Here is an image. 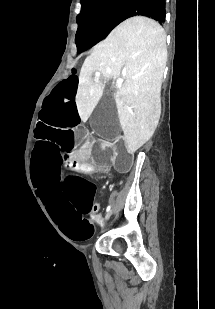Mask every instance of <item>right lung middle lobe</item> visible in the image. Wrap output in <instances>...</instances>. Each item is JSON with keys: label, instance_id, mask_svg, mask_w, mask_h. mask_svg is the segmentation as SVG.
Listing matches in <instances>:
<instances>
[{"label": "right lung middle lobe", "instance_id": "dd1d6c3e", "mask_svg": "<svg viewBox=\"0 0 215 309\" xmlns=\"http://www.w3.org/2000/svg\"><path fill=\"white\" fill-rule=\"evenodd\" d=\"M131 0H81L75 42L81 53L106 37Z\"/></svg>", "mask_w": 215, "mask_h": 309}]
</instances>
